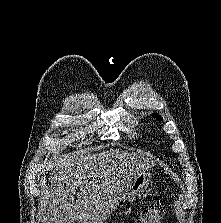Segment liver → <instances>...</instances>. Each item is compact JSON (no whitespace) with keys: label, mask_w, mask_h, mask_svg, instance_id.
I'll return each instance as SVG.
<instances>
[{"label":"liver","mask_w":221,"mask_h":223,"mask_svg":"<svg viewBox=\"0 0 221 223\" xmlns=\"http://www.w3.org/2000/svg\"><path fill=\"white\" fill-rule=\"evenodd\" d=\"M149 161L146 154L118 149L60 156L50 174L42 223H104ZM78 188L80 193L75 201Z\"/></svg>","instance_id":"1"}]
</instances>
